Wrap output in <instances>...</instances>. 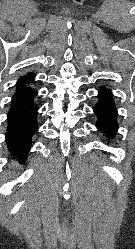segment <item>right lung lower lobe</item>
<instances>
[{"label": "right lung lower lobe", "mask_w": 135, "mask_h": 249, "mask_svg": "<svg viewBox=\"0 0 135 249\" xmlns=\"http://www.w3.org/2000/svg\"><path fill=\"white\" fill-rule=\"evenodd\" d=\"M34 73L18 79L7 116L6 145L14 158L25 161L38 131L37 91L31 86Z\"/></svg>", "instance_id": "right-lung-lower-lobe-1"}]
</instances>
